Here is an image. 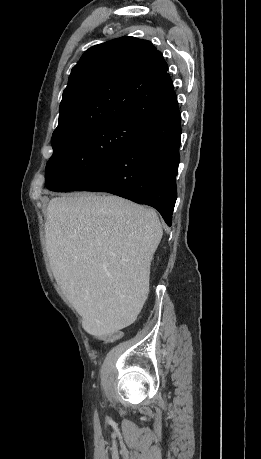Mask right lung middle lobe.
<instances>
[{
	"mask_svg": "<svg viewBox=\"0 0 261 459\" xmlns=\"http://www.w3.org/2000/svg\"><path fill=\"white\" fill-rule=\"evenodd\" d=\"M132 120L112 121L93 129L52 138L46 187L67 192L117 157L146 127Z\"/></svg>",
	"mask_w": 261,
	"mask_h": 459,
	"instance_id": "dd1d6c3e",
	"label": "right lung middle lobe"
}]
</instances>
